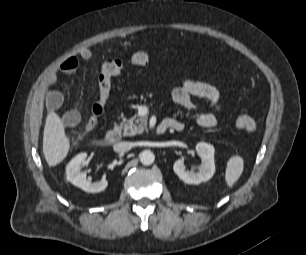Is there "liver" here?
<instances>
[{
	"label": "liver",
	"mask_w": 306,
	"mask_h": 255,
	"mask_svg": "<svg viewBox=\"0 0 306 255\" xmlns=\"http://www.w3.org/2000/svg\"><path fill=\"white\" fill-rule=\"evenodd\" d=\"M70 150V140L65 134L64 124L55 112L47 115L44 135L43 153L49 166L62 162Z\"/></svg>",
	"instance_id": "liver-1"
}]
</instances>
